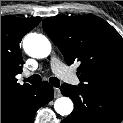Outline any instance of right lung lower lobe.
I'll return each mask as SVG.
<instances>
[{
	"label": "right lung lower lobe",
	"mask_w": 123,
	"mask_h": 123,
	"mask_svg": "<svg viewBox=\"0 0 123 123\" xmlns=\"http://www.w3.org/2000/svg\"><path fill=\"white\" fill-rule=\"evenodd\" d=\"M53 99L48 82L34 86L25 94L1 101V123H33L36 111Z\"/></svg>",
	"instance_id": "obj_1"
}]
</instances>
